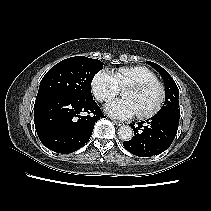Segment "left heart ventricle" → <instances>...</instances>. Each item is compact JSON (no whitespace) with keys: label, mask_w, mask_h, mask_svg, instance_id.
I'll return each instance as SVG.
<instances>
[{"label":"left heart ventricle","mask_w":211,"mask_h":211,"mask_svg":"<svg viewBox=\"0 0 211 211\" xmlns=\"http://www.w3.org/2000/svg\"><path fill=\"white\" fill-rule=\"evenodd\" d=\"M123 97L130 99L136 107L137 114L150 111L158 102L160 91L158 87L153 86L144 91H137L126 88L123 91Z\"/></svg>","instance_id":"1"}]
</instances>
